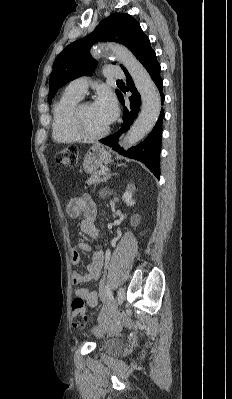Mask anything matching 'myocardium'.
<instances>
[{"label": "myocardium", "mask_w": 232, "mask_h": 399, "mask_svg": "<svg viewBox=\"0 0 232 399\" xmlns=\"http://www.w3.org/2000/svg\"><path fill=\"white\" fill-rule=\"evenodd\" d=\"M89 106H91V103L81 102L74 108L73 113H72V118H71V125H72V129H73L74 133L81 140L95 142V141H99V140L107 137L109 135V133L111 132V127H109L103 133L97 134V135H91V134H88L87 132H85L81 125V113L84 108L89 107Z\"/></svg>", "instance_id": "obj_1"}]
</instances>
